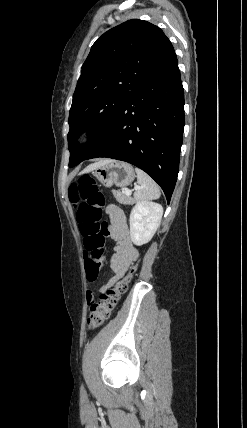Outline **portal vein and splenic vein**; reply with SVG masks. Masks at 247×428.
<instances>
[{"label": "portal vein and splenic vein", "mask_w": 247, "mask_h": 428, "mask_svg": "<svg viewBox=\"0 0 247 428\" xmlns=\"http://www.w3.org/2000/svg\"><path fill=\"white\" fill-rule=\"evenodd\" d=\"M139 188H140V187L136 186V187H135V190H138ZM124 193H125V195L130 196V195L132 194V191H131V190H129V189H126V190L124 191Z\"/></svg>", "instance_id": "1"}]
</instances>
